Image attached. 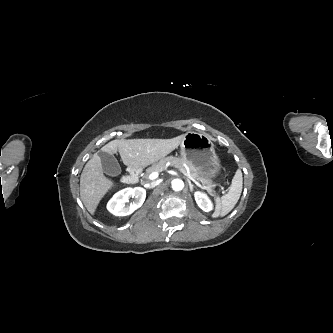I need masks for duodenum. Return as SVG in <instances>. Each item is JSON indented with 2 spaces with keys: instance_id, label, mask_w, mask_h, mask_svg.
Listing matches in <instances>:
<instances>
[{
  "instance_id": "duodenum-1",
  "label": "duodenum",
  "mask_w": 333,
  "mask_h": 333,
  "mask_svg": "<svg viewBox=\"0 0 333 333\" xmlns=\"http://www.w3.org/2000/svg\"><path fill=\"white\" fill-rule=\"evenodd\" d=\"M139 170L135 168H130L128 173L123 177V182L125 184H134L139 180Z\"/></svg>"
}]
</instances>
